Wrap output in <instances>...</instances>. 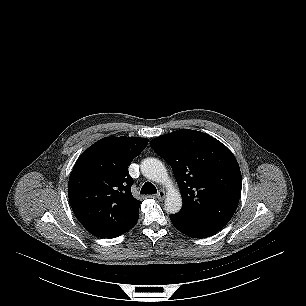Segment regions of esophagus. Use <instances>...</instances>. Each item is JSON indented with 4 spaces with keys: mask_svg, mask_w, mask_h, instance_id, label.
<instances>
[{
    "mask_svg": "<svg viewBox=\"0 0 306 306\" xmlns=\"http://www.w3.org/2000/svg\"><path fill=\"white\" fill-rule=\"evenodd\" d=\"M166 196V193L164 190H160L157 194H156V198L160 201L164 200Z\"/></svg>",
    "mask_w": 306,
    "mask_h": 306,
    "instance_id": "34e87169",
    "label": "esophagus"
}]
</instances>
